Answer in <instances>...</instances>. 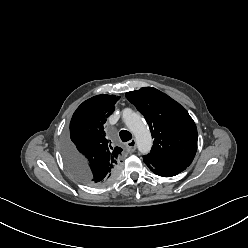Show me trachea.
Returning <instances> with one entry per match:
<instances>
[{
  "label": "trachea",
  "instance_id": "trachea-1",
  "mask_svg": "<svg viewBox=\"0 0 248 248\" xmlns=\"http://www.w3.org/2000/svg\"><path fill=\"white\" fill-rule=\"evenodd\" d=\"M119 135L123 142H127L132 138V134L127 130H121Z\"/></svg>",
  "mask_w": 248,
  "mask_h": 248
}]
</instances>
